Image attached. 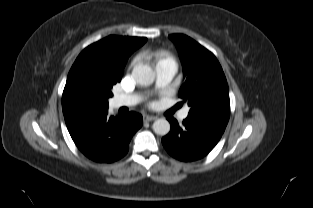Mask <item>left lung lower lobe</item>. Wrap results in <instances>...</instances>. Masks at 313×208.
Instances as JSON below:
<instances>
[{
	"instance_id": "0a47b994",
	"label": "left lung lower lobe",
	"mask_w": 313,
	"mask_h": 208,
	"mask_svg": "<svg viewBox=\"0 0 313 208\" xmlns=\"http://www.w3.org/2000/svg\"><path fill=\"white\" fill-rule=\"evenodd\" d=\"M171 131L162 138L167 152L181 161H194L206 156L218 143L226 124L200 120L188 116L180 126L176 119L167 117Z\"/></svg>"
}]
</instances>
